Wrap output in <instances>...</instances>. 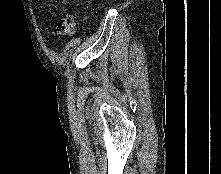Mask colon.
I'll return each instance as SVG.
<instances>
[{
	"label": "colon",
	"mask_w": 221,
	"mask_h": 174,
	"mask_svg": "<svg viewBox=\"0 0 221 174\" xmlns=\"http://www.w3.org/2000/svg\"><path fill=\"white\" fill-rule=\"evenodd\" d=\"M77 17L74 12L68 11L57 22V35L60 37L74 34L77 28Z\"/></svg>",
	"instance_id": "colon-1"
}]
</instances>
